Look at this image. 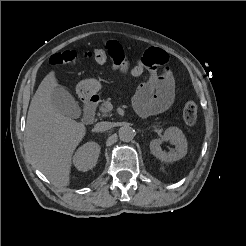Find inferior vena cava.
Listing matches in <instances>:
<instances>
[{
  "label": "inferior vena cava",
  "instance_id": "602c4592",
  "mask_svg": "<svg viewBox=\"0 0 246 246\" xmlns=\"http://www.w3.org/2000/svg\"><path fill=\"white\" fill-rule=\"evenodd\" d=\"M112 127L111 122H99L94 126V131L96 132H102L109 130Z\"/></svg>",
  "mask_w": 246,
  "mask_h": 246
}]
</instances>
